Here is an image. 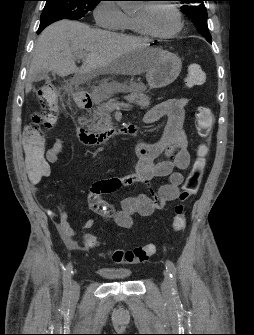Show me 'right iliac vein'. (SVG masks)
Here are the masks:
<instances>
[{
  "label": "right iliac vein",
  "instance_id": "right-iliac-vein-1",
  "mask_svg": "<svg viewBox=\"0 0 254 335\" xmlns=\"http://www.w3.org/2000/svg\"><path fill=\"white\" fill-rule=\"evenodd\" d=\"M79 292H80L79 285L76 282H74L71 288L72 296L77 297L79 295Z\"/></svg>",
  "mask_w": 254,
  "mask_h": 335
}]
</instances>
